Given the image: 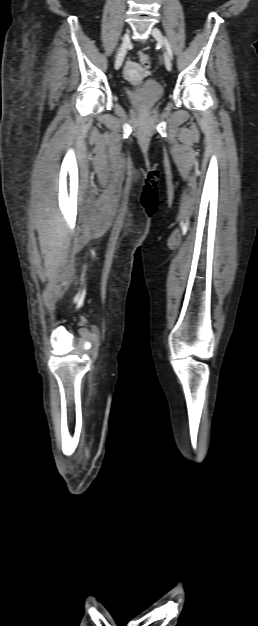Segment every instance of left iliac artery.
Returning <instances> with one entry per match:
<instances>
[{"label": "left iliac artery", "instance_id": "obj_1", "mask_svg": "<svg viewBox=\"0 0 258 626\" xmlns=\"http://www.w3.org/2000/svg\"><path fill=\"white\" fill-rule=\"evenodd\" d=\"M165 45H166V49L168 51V54H169L170 58L172 59L173 58V53H172V50H171V46H170V44H169V42H168V40L166 38H165Z\"/></svg>", "mask_w": 258, "mask_h": 626}]
</instances>
